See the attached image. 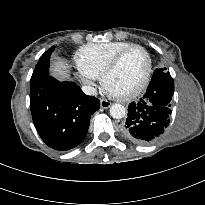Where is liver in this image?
Instances as JSON below:
<instances>
[{
  "mask_svg": "<svg viewBox=\"0 0 205 205\" xmlns=\"http://www.w3.org/2000/svg\"><path fill=\"white\" fill-rule=\"evenodd\" d=\"M51 74L59 80H65L69 77V66L63 59H56L51 64Z\"/></svg>",
  "mask_w": 205,
  "mask_h": 205,
  "instance_id": "obj_1",
  "label": "liver"
}]
</instances>
